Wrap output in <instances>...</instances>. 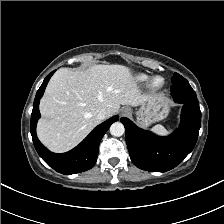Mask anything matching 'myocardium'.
Masks as SVG:
<instances>
[{"mask_svg":"<svg viewBox=\"0 0 224 224\" xmlns=\"http://www.w3.org/2000/svg\"><path fill=\"white\" fill-rule=\"evenodd\" d=\"M157 79H161L160 84H156ZM164 85H165V79L163 76H160V75H155V76L151 77L147 83L149 90H151L153 92L161 90L164 87Z\"/></svg>","mask_w":224,"mask_h":224,"instance_id":"1","label":"myocardium"}]
</instances>
